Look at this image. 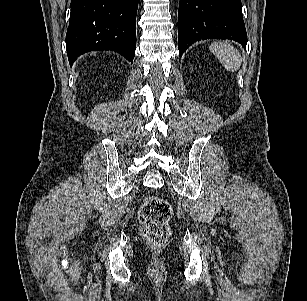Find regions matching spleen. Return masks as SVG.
Masks as SVG:
<instances>
[{"label":"spleen","instance_id":"spleen-1","mask_svg":"<svg viewBox=\"0 0 307 301\" xmlns=\"http://www.w3.org/2000/svg\"><path fill=\"white\" fill-rule=\"evenodd\" d=\"M209 49L228 71L234 72L239 69L241 55L232 45L227 42H214Z\"/></svg>","mask_w":307,"mask_h":301}]
</instances>
